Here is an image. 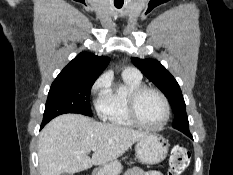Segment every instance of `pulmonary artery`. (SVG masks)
<instances>
[{"label":"pulmonary artery","instance_id":"1","mask_svg":"<svg viewBox=\"0 0 233 175\" xmlns=\"http://www.w3.org/2000/svg\"><path fill=\"white\" fill-rule=\"evenodd\" d=\"M124 73L132 75V76H136V77H141V74H140L139 70H137L136 68H133V67L127 68L124 71Z\"/></svg>","mask_w":233,"mask_h":175}]
</instances>
